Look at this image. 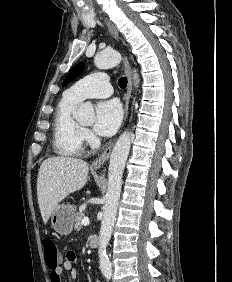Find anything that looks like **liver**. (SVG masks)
<instances>
[{
  "label": "liver",
  "mask_w": 232,
  "mask_h": 282,
  "mask_svg": "<svg viewBox=\"0 0 232 282\" xmlns=\"http://www.w3.org/2000/svg\"><path fill=\"white\" fill-rule=\"evenodd\" d=\"M88 171L84 160L72 157H52L42 162L37 177V198L44 224L59 202L84 187Z\"/></svg>",
  "instance_id": "liver-1"
}]
</instances>
